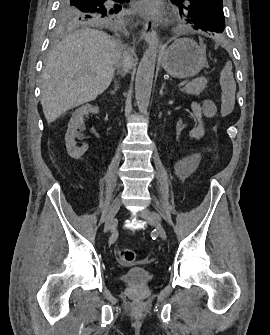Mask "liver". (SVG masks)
Instances as JSON below:
<instances>
[{"instance_id":"liver-1","label":"liver","mask_w":270,"mask_h":335,"mask_svg":"<svg viewBox=\"0 0 270 335\" xmlns=\"http://www.w3.org/2000/svg\"><path fill=\"white\" fill-rule=\"evenodd\" d=\"M123 44L99 30H76L48 54L42 76L41 104L48 122L96 100L107 90L115 70H130L132 60Z\"/></svg>"}]
</instances>
